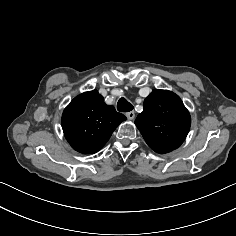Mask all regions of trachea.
I'll list each match as a JSON object with an SVG mask.
<instances>
[{
    "mask_svg": "<svg viewBox=\"0 0 236 236\" xmlns=\"http://www.w3.org/2000/svg\"><path fill=\"white\" fill-rule=\"evenodd\" d=\"M117 110L120 112H129L133 110V105L125 98H120L117 103Z\"/></svg>",
    "mask_w": 236,
    "mask_h": 236,
    "instance_id": "1",
    "label": "trachea"
}]
</instances>
